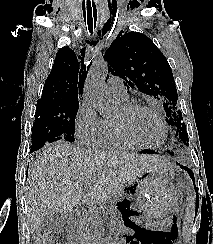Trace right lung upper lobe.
I'll return each instance as SVG.
<instances>
[{"label": "right lung upper lobe", "mask_w": 213, "mask_h": 244, "mask_svg": "<svg viewBox=\"0 0 213 244\" xmlns=\"http://www.w3.org/2000/svg\"><path fill=\"white\" fill-rule=\"evenodd\" d=\"M88 69L89 67L86 69L84 66L83 59L81 62L78 61L76 54L68 46L59 49L51 73L44 84L41 99L38 101L79 102Z\"/></svg>", "instance_id": "cb5924a9"}]
</instances>
